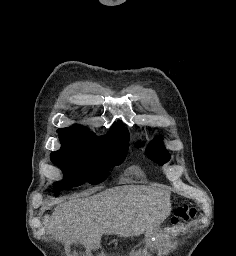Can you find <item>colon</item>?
Here are the masks:
<instances>
[{"mask_svg":"<svg viewBox=\"0 0 236 256\" xmlns=\"http://www.w3.org/2000/svg\"><path fill=\"white\" fill-rule=\"evenodd\" d=\"M197 215V209L192 203L179 206L172 218L173 226H181L183 223L193 219Z\"/></svg>","mask_w":236,"mask_h":256,"instance_id":"colon-1","label":"colon"}]
</instances>
